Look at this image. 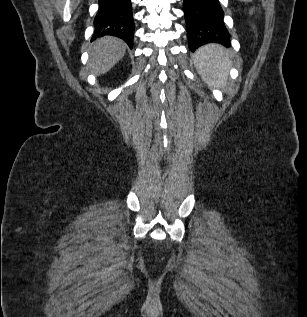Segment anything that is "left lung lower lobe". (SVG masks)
Segmentation results:
<instances>
[{
  "label": "left lung lower lobe",
  "instance_id": "0a47b994",
  "mask_svg": "<svg viewBox=\"0 0 307 317\" xmlns=\"http://www.w3.org/2000/svg\"><path fill=\"white\" fill-rule=\"evenodd\" d=\"M184 15L192 52L208 43L230 46L229 33L223 22L224 12L218 0H184Z\"/></svg>",
  "mask_w": 307,
  "mask_h": 317
}]
</instances>
